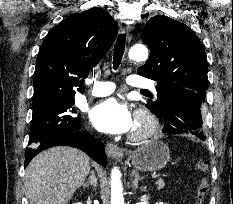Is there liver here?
<instances>
[{
	"mask_svg": "<svg viewBox=\"0 0 233 204\" xmlns=\"http://www.w3.org/2000/svg\"><path fill=\"white\" fill-rule=\"evenodd\" d=\"M89 171V157L78 149L52 147L39 153L25 171L30 204H68Z\"/></svg>",
	"mask_w": 233,
	"mask_h": 204,
	"instance_id": "6515ba94",
	"label": "liver"
}]
</instances>
